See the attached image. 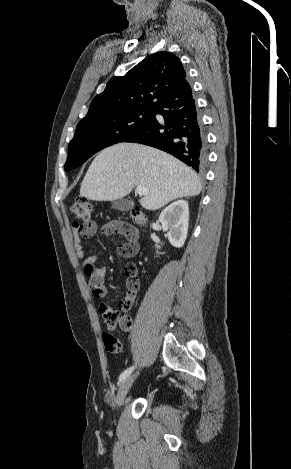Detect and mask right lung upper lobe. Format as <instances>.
Segmentation results:
<instances>
[{
  "instance_id": "1",
  "label": "right lung upper lobe",
  "mask_w": 291,
  "mask_h": 469,
  "mask_svg": "<svg viewBox=\"0 0 291 469\" xmlns=\"http://www.w3.org/2000/svg\"><path fill=\"white\" fill-rule=\"evenodd\" d=\"M187 86L189 83L180 59L170 52H157L125 76L113 77L105 90L92 100L82 120L105 118L135 109L153 110L169 93Z\"/></svg>"
}]
</instances>
